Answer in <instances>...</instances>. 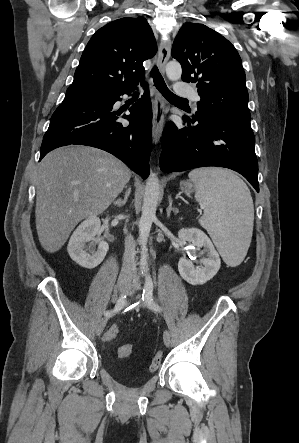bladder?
Returning <instances> with one entry per match:
<instances>
[{"mask_svg": "<svg viewBox=\"0 0 299 443\" xmlns=\"http://www.w3.org/2000/svg\"><path fill=\"white\" fill-rule=\"evenodd\" d=\"M121 379L129 385H136L143 382L146 379V375L134 372L124 373L121 375Z\"/></svg>", "mask_w": 299, "mask_h": 443, "instance_id": "bladder-1", "label": "bladder"}]
</instances>
